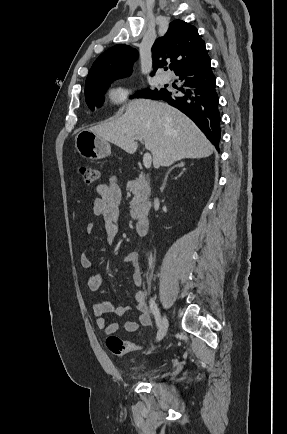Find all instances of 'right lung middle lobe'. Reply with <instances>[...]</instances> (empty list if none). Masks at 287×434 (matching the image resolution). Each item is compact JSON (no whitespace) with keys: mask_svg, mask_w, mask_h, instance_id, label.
I'll use <instances>...</instances> for the list:
<instances>
[{"mask_svg":"<svg viewBox=\"0 0 287 434\" xmlns=\"http://www.w3.org/2000/svg\"><path fill=\"white\" fill-rule=\"evenodd\" d=\"M115 79H118V78L99 81V82L85 85V99H86L87 105L89 106V108L91 110H94L95 106L99 107L102 105L103 100H104L102 94L109 87V84L112 81H114ZM154 91H157V90H154ZM154 91L146 89L145 91L139 93L138 96L147 98L148 95H150Z\"/></svg>","mask_w":287,"mask_h":434,"instance_id":"dd1d6c3e","label":"right lung middle lobe"}]
</instances>
